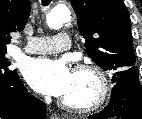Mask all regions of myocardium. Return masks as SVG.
<instances>
[{
  "instance_id": "obj_1",
  "label": "myocardium",
  "mask_w": 142,
  "mask_h": 119,
  "mask_svg": "<svg viewBox=\"0 0 142 119\" xmlns=\"http://www.w3.org/2000/svg\"><path fill=\"white\" fill-rule=\"evenodd\" d=\"M74 73H89L97 82V91L93 100L85 105L71 103L65 99H60L59 104L66 110L75 113H91L104 106L110 95V81L102 68L93 63L78 64L74 68Z\"/></svg>"
}]
</instances>
